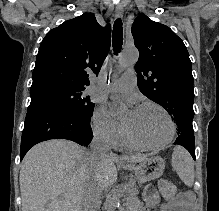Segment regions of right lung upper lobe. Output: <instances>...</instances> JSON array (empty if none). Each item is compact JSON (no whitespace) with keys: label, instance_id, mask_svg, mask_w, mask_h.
<instances>
[{"label":"right lung upper lobe","instance_id":"obj_1","mask_svg":"<svg viewBox=\"0 0 219 211\" xmlns=\"http://www.w3.org/2000/svg\"><path fill=\"white\" fill-rule=\"evenodd\" d=\"M111 27L84 13L50 30L41 42L30 92L50 84L85 89L88 72H99L110 48Z\"/></svg>","mask_w":219,"mask_h":211}]
</instances>
